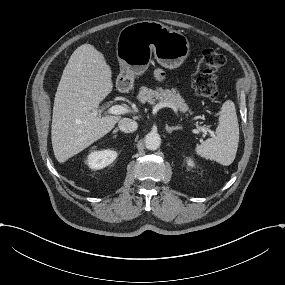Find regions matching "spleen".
Wrapping results in <instances>:
<instances>
[{
	"instance_id": "1",
	"label": "spleen",
	"mask_w": 285,
	"mask_h": 285,
	"mask_svg": "<svg viewBox=\"0 0 285 285\" xmlns=\"http://www.w3.org/2000/svg\"><path fill=\"white\" fill-rule=\"evenodd\" d=\"M239 142V126L232 100H226L219 115V124L212 138L196 145L194 153L203 159L212 160L222 166L233 163Z\"/></svg>"
}]
</instances>
